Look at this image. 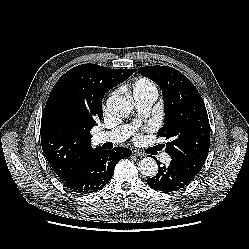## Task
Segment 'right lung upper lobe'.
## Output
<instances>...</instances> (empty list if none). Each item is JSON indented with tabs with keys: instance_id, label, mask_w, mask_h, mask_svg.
I'll use <instances>...</instances> for the list:
<instances>
[{
	"instance_id": "right-lung-upper-lobe-1",
	"label": "right lung upper lobe",
	"mask_w": 249,
	"mask_h": 249,
	"mask_svg": "<svg viewBox=\"0 0 249 249\" xmlns=\"http://www.w3.org/2000/svg\"><path fill=\"white\" fill-rule=\"evenodd\" d=\"M133 69H110L97 64H81L66 72L52 88L41 120L42 149L50 165L62 178L91 150V138L65 127L60 105L79 107L102 119V98L107 90L128 78ZM84 135H86L84 137Z\"/></svg>"
}]
</instances>
